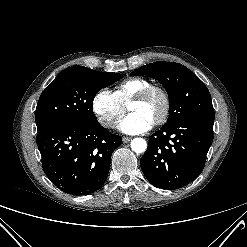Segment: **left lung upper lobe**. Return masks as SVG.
Here are the masks:
<instances>
[{"instance_id": "obj_1", "label": "left lung upper lobe", "mask_w": 247, "mask_h": 247, "mask_svg": "<svg viewBox=\"0 0 247 247\" xmlns=\"http://www.w3.org/2000/svg\"><path fill=\"white\" fill-rule=\"evenodd\" d=\"M157 79L167 90L170 115L165 125L195 118L213 123L215 113L205 84L188 68L174 62H154L132 72Z\"/></svg>"}]
</instances>
